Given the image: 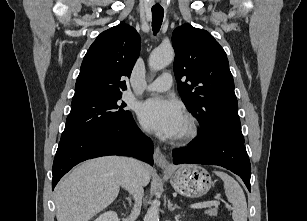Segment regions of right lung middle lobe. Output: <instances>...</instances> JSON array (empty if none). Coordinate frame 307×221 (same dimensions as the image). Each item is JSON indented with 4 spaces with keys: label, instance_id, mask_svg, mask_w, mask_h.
<instances>
[{
    "label": "right lung middle lobe",
    "instance_id": "right-lung-middle-lobe-1",
    "mask_svg": "<svg viewBox=\"0 0 307 221\" xmlns=\"http://www.w3.org/2000/svg\"><path fill=\"white\" fill-rule=\"evenodd\" d=\"M120 99L116 95L72 103L61 140L129 119L132 114L123 109L126 103Z\"/></svg>",
    "mask_w": 307,
    "mask_h": 221
}]
</instances>
